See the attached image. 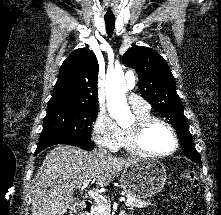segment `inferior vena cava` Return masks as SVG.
I'll return each instance as SVG.
<instances>
[{
    "label": "inferior vena cava",
    "instance_id": "obj_1",
    "mask_svg": "<svg viewBox=\"0 0 221 215\" xmlns=\"http://www.w3.org/2000/svg\"><path fill=\"white\" fill-rule=\"evenodd\" d=\"M101 151H102V153H104V154H109L108 151L105 150V149H102Z\"/></svg>",
    "mask_w": 221,
    "mask_h": 215
}]
</instances>
